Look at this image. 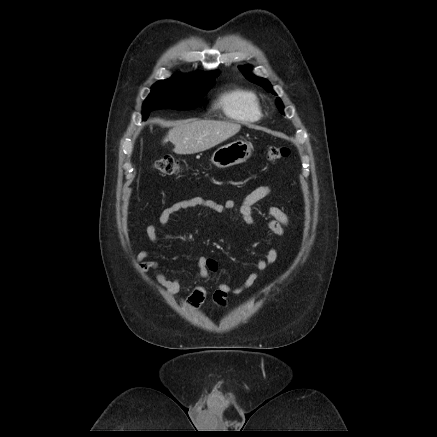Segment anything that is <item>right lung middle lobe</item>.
I'll list each match as a JSON object with an SVG mask.
<instances>
[{
	"label": "right lung middle lobe",
	"instance_id": "dd1d6c3e",
	"mask_svg": "<svg viewBox=\"0 0 437 437\" xmlns=\"http://www.w3.org/2000/svg\"><path fill=\"white\" fill-rule=\"evenodd\" d=\"M214 80V79H213ZM213 81L205 84H188L178 80H160L152 86L151 94L143 103V120L155 109H192L211 89Z\"/></svg>",
	"mask_w": 437,
	"mask_h": 437
}]
</instances>
